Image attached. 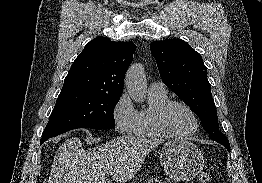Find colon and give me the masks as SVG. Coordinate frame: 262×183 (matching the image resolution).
Returning <instances> with one entry per match:
<instances>
[{"label": "colon", "instance_id": "obj_1", "mask_svg": "<svg viewBox=\"0 0 262 183\" xmlns=\"http://www.w3.org/2000/svg\"><path fill=\"white\" fill-rule=\"evenodd\" d=\"M198 183H210L211 174L209 171H202L197 177Z\"/></svg>", "mask_w": 262, "mask_h": 183}]
</instances>
